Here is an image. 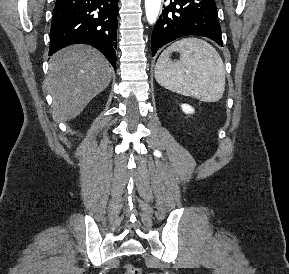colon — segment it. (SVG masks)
<instances>
[{
  "label": "colon",
  "instance_id": "obj_1",
  "mask_svg": "<svg viewBox=\"0 0 289 274\" xmlns=\"http://www.w3.org/2000/svg\"><path fill=\"white\" fill-rule=\"evenodd\" d=\"M125 274H142V270L137 266L127 264L125 266Z\"/></svg>",
  "mask_w": 289,
  "mask_h": 274
}]
</instances>
